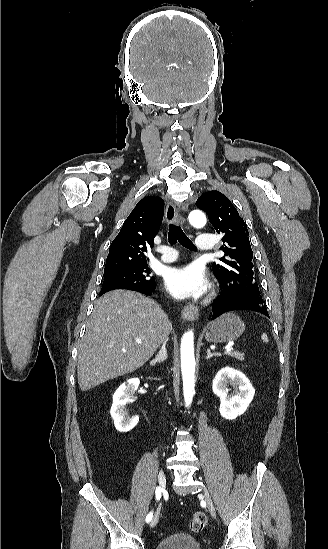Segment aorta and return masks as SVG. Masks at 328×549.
I'll use <instances>...</instances> for the list:
<instances>
[{
	"instance_id": "1",
	"label": "aorta",
	"mask_w": 328,
	"mask_h": 549,
	"mask_svg": "<svg viewBox=\"0 0 328 549\" xmlns=\"http://www.w3.org/2000/svg\"><path fill=\"white\" fill-rule=\"evenodd\" d=\"M189 222L196 228H202L206 224V216L200 210H193L189 214ZM181 372L183 378V395L186 407L192 403L195 393V357H194V333L187 331L181 339Z\"/></svg>"
}]
</instances>
